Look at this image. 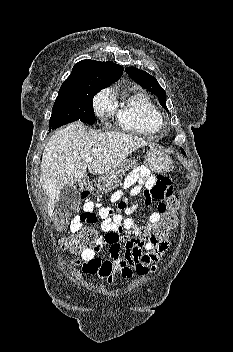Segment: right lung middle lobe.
<instances>
[{
    "label": "right lung middle lobe",
    "mask_w": 233,
    "mask_h": 352,
    "mask_svg": "<svg viewBox=\"0 0 233 352\" xmlns=\"http://www.w3.org/2000/svg\"><path fill=\"white\" fill-rule=\"evenodd\" d=\"M101 86H85L73 93L58 94L49 121V130L80 120L92 124L95 120L93 97Z\"/></svg>",
    "instance_id": "obj_1"
}]
</instances>
